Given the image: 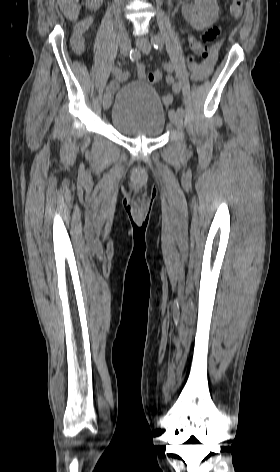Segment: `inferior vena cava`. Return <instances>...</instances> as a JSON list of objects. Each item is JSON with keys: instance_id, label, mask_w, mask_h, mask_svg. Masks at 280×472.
I'll list each match as a JSON object with an SVG mask.
<instances>
[{"instance_id": "inferior-vena-cava-1", "label": "inferior vena cava", "mask_w": 280, "mask_h": 472, "mask_svg": "<svg viewBox=\"0 0 280 472\" xmlns=\"http://www.w3.org/2000/svg\"><path fill=\"white\" fill-rule=\"evenodd\" d=\"M121 5H122V0H114V10L116 11L118 15L121 11ZM117 25L120 28H122V22L120 21V19L117 20Z\"/></svg>"}]
</instances>
